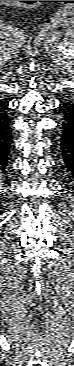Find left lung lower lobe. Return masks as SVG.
Instances as JSON below:
<instances>
[{
    "label": "left lung lower lobe",
    "instance_id": "obj_1",
    "mask_svg": "<svg viewBox=\"0 0 74 366\" xmlns=\"http://www.w3.org/2000/svg\"><path fill=\"white\" fill-rule=\"evenodd\" d=\"M60 109L63 118L59 126L57 148L65 167L74 175V100L63 102Z\"/></svg>",
    "mask_w": 74,
    "mask_h": 366
}]
</instances>
